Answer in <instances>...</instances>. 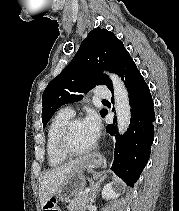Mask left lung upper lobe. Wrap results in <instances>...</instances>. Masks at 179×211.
<instances>
[{
	"label": "left lung upper lobe",
	"mask_w": 179,
	"mask_h": 211,
	"mask_svg": "<svg viewBox=\"0 0 179 211\" xmlns=\"http://www.w3.org/2000/svg\"><path fill=\"white\" fill-rule=\"evenodd\" d=\"M128 55L123 43L112 32L99 27L89 32L72 61L43 92V127L60 106L81 100L82 93L96 85L111 88V80L100 71L108 69L118 74ZM105 111L102 110L101 115Z\"/></svg>",
	"instance_id": "left-lung-upper-lobe-1"
}]
</instances>
